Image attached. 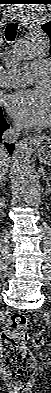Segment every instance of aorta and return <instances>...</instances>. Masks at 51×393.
Returning <instances> with one entry per match:
<instances>
[{
	"label": "aorta",
	"instance_id": "762f6f07",
	"mask_svg": "<svg viewBox=\"0 0 51 393\" xmlns=\"http://www.w3.org/2000/svg\"><path fill=\"white\" fill-rule=\"evenodd\" d=\"M50 41L47 34L42 31H32L23 35L14 49V56L21 60L35 59L49 53ZM37 138H26L19 142L13 152L12 164L14 175L19 186L21 196L29 205L39 202V191L31 163L34 148L39 144Z\"/></svg>",
	"mask_w": 51,
	"mask_h": 393
}]
</instances>
